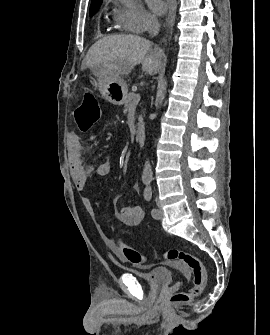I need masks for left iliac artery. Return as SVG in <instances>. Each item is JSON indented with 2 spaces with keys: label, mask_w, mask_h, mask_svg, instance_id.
<instances>
[{
  "label": "left iliac artery",
  "mask_w": 270,
  "mask_h": 335,
  "mask_svg": "<svg viewBox=\"0 0 270 335\" xmlns=\"http://www.w3.org/2000/svg\"><path fill=\"white\" fill-rule=\"evenodd\" d=\"M144 198H145V200L148 201V202L152 199V189H151L150 186H147V187L145 188V190H144ZM157 213H158V211H157L156 208H153V209L151 210V215H152L153 217H156V216H157Z\"/></svg>",
  "instance_id": "left-iliac-artery-1"
}]
</instances>
